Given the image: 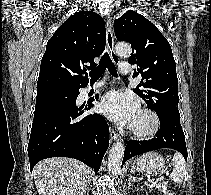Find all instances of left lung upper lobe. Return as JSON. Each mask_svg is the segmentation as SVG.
<instances>
[{
  "mask_svg": "<svg viewBox=\"0 0 211 195\" xmlns=\"http://www.w3.org/2000/svg\"><path fill=\"white\" fill-rule=\"evenodd\" d=\"M114 31L119 41H127L132 46L128 62L137 65L133 78L142 77L134 92L159 118L180 120L176 64L167 39L155 25L133 10L115 20Z\"/></svg>",
  "mask_w": 211,
  "mask_h": 195,
  "instance_id": "5c2ea615",
  "label": "left lung upper lobe"
}]
</instances>
